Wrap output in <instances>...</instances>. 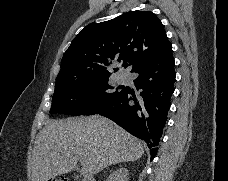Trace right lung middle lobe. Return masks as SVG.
Masks as SVG:
<instances>
[{
	"label": "right lung middle lobe",
	"mask_w": 228,
	"mask_h": 181,
	"mask_svg": "<svg viewBox=\"0 0 228 181\" xmlns=\"http://www.w3.org/2000/svg\"><path fill=\"white\" fill-rule=\"evenodd\" d=\"M109 76L56 86L50 113L79 116L102 112L123 95L125 88L110 86Z\"/></svg>",
	"instance_id": "dd1d6c3e"
}]
</instances>
